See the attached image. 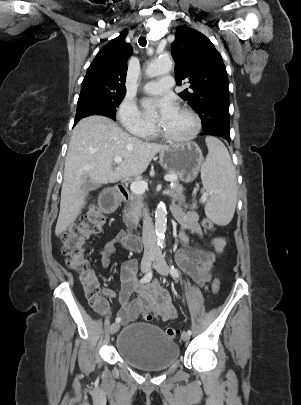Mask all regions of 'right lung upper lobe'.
I'll use <instances>...</instances> for the list:
<instances>
[{"label": "right lung upper lobe", "instance_id": "1", "mask_svg": "<svg viewBox=\"0 0 301 405\" xmlns=\"http://www.w3.org/2000/svg\"><path fill=\"white\" fill-rule=\"evenodd\" d=\"M124 37L125 33H121L97 53L81 84L80 95H125L127 60L132 55V47L125 42Z\"/></svg>", "mask_w": 301, "mask_h": 405}]
</instances>
